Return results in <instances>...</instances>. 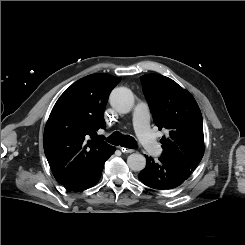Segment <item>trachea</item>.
Wrapping results in <instances>:
<instances>
[{"instance_id": "1", "label": "trachea", "mask_w": 245, "mask_h": 245, "mask_svg": "<svg viewBox=\"0 0 245 245\" xmlns=\"http://www.w3.org/2000/svg\"><path fill=\"white\" fill-rule=\"evenodd\" d=\"M107 142L113 145H120L122 147L135 149L137 147L135 139L130 135H123L120 132L116 131L112 133L108 138Z\"/></svg>"}]
</instances>
